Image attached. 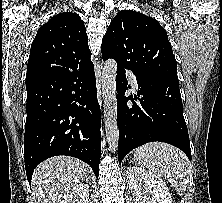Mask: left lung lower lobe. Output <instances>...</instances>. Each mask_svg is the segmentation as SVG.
<instances>
[{"label":"left lung lower lobe","instance_id":"1","mask_svg":"<svg viewBox=\"0 0 222 203\" xmlns=\"http://www.w3.org/2000/svg\"><path fill=\"white\" fill-rule=\"evenodd\" d=\"M107 60V58H103ZM125 68L116 75L119 164L134 148L153 141L166 142L182 150L191 160L187 126L183 116L179 81L163 76H136L139 91L125 97L128 81ZM131 100V102H129Z\"/></svg>","mask_w":222,"mask_h":203}]
</instances>
